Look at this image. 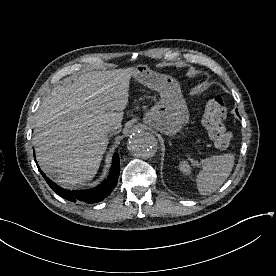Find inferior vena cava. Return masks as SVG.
<instances>
[{
  "instance_id": "obj_1",
  "label": "inferior vena cava",
  "mask_w": 276,
  "mask_h": 276,
  "mask_svg": "<svg viewBox=\"0 0 276 276\" xmlns=\"http://www.w3.org/2000/svg\"><path fill=\"white\" fill-rule=\"evenodd\" d=\"M117 129H119V125L116 123H110V124H106L104 126V131L106 133H112V132H116Z\"/></svg>"
}]
</instances>
